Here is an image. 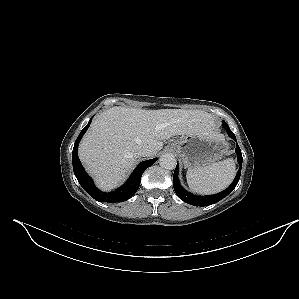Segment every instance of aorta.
I'll return each instance as SVG.
<instances>
[{
	"instance_id": "obj_1",
	"label": "aorta",
	"mask_w": 299,
	"mask_h": 299,
	"mask_svg": "<svg viewBox=\"0 0 299 299\" xmlns=\"http://www.w3.org/2000/svg\"><path fill=\"white\" fill-rule=\"evenodd\" d=\"M159 164L164 169L172 170L176 167L177 161L173 154L166 153L159 158Z\"/></svg>"
}]
</instances>
